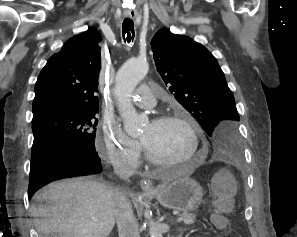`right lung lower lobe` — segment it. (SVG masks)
<instances>
[{"mask_svg":"<svg viewBox=\"0 0 297 237\" xmlns=\"http://www.w3.org/2000/svg\"><path fill=\"white\" fill-rule=\"evenodd\" d=\"M28 196L50 182L76 176L99 174L100 158L95 149L70 141H50L31 152Z\"/></svg>","mask_w":297,"mask_h":237,"instance_id":"right-lung-lower-lobe-1","label":"right lung lower lobe"}]
</instances>
